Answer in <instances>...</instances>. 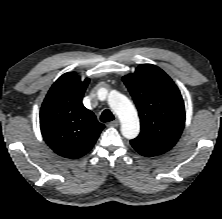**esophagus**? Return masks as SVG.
<instances>
[{"label": "esophagus", "instance_id": "1", "mask_svg": "<svg viewBox=\"0 0 222 219\" xmlns=\"http://www.w3.org/2000/svg\"><path fill=\"white\" fill-rule=\"evenodd\" d=\"M118 125H119V121L118 120H114V121L109 123L110 127H117Z\"/></svg>", "mask_w": 222, "mask_h": 219}]
</instances>
